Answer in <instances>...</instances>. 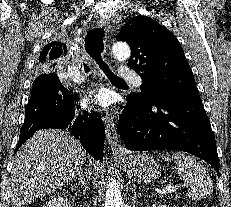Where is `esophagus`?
<instances>
[{"label":"esophagus","instance_id":"34e87169","mask_svg":"<svg viewBox=\"0 0 231 207\" xmlns=\"http://www.w3.org/2000/svg\"><path fill=\"white\" fill-rule=\"evenodd\" d=\"M97 25L101 28L108 30L110 27V22L107 19L98 18ZM104 124H105L106 140L113 154H119L124 152V147L119 142V138L114 122V116L107 113L106 116L104 117Z\"/></svg>","mask_w":231,"mask_h":207}]
</instances>
